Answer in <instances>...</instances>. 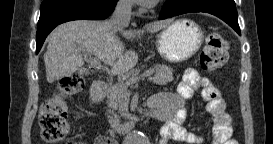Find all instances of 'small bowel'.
<instances>
[{"label":"small bowel","mask_w":273,"mask_h":144,"mask_svg":"<svg viewBox=\"0 0 273 144\" xmlns=\"http://www.w3.org/2000/svg\"><path fill=\"white\" fill-rule=\"evenodd\" d=\"M200 93L205 104L203 109L213 117V144H235L232 139L231 118L226 111V103L221 91L206 77L196 70L188 69L183 75L175 93L165 94L169 105L164 110L165 124L160 130L159 144L177 141L187 144H202L204 137L186 130L183 126L187 111L185 103L191 100L194 94ZM75 143V142H71ZM94 144L114 143L109 137L99 135Z\"/></svg>","instance_id":"obj_1"}]
</instances>
